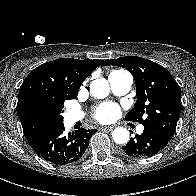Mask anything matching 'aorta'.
Segmentation results:
<instances>
[{"mask_svg": "<svg viewBox=\"0 0 196 196\" xmlns=\"http://www.w3.org/2000/svg\"><path fill=\"white\" fill-rule=\"evenodd\" d=\"M109 92V83L104 78L93 80L90 84V93L98 99L107 97ZM112 137L115 143L125 144L129 140V131L124 127H117L113 130Z\"/></svg>", "mask_w": 196, "mask_h": 196, "instance_id": "aorta-1", "label": "aorta"}]
</instances>
